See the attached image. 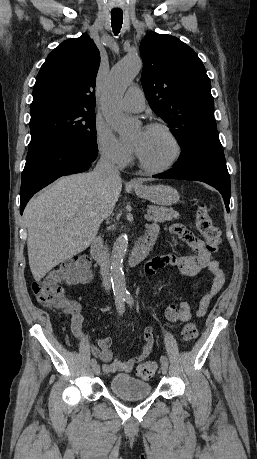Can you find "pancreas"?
<instances>
[{"mask_svg": "<svg viewBox=\"0 0 257 459\" xmlns=\"http://www.w3.org/2000/svg\"><path fill=\"white\" fill-rule=\"evenodd\" d=\"M148 212L153 214L152 220L155 222L171 221L172 219H178L180 217L178 212L166 207L149 205ZM111 228H113V226Z\"/></svg>", "mask_w": 257, "mask_h": 459, "instance_id": "obj_1", "label": "pancreas"}]
</instances>
